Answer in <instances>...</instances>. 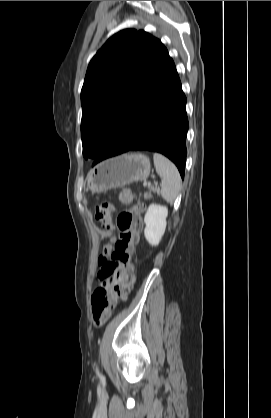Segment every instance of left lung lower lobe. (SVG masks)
I'll list each match as a JSON object with an SVG mask.
<instances>
[{"label": "left lung lower lobe", "mask_w": 271, "mask_h": 418, "mask_svg": "<svg viewBox=\"0 0 271 418\" xmlns=\"http://www.w3.org/2000/svg\"><path fill=\"white\" fill-rule=\"evenodd\" d=\"M186 97L170 58L122 121L93 165L128 151L147 150L171 159L184 177L188 119Z\"/></svg>", "instance_id": "0a47b994"}]
</instances>
